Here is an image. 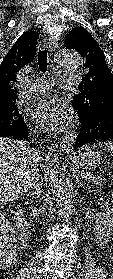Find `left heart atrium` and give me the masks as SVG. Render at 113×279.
<instances>
[{
  "mask_svg": "<svg viewBox=\"0 0 113 279\" xmlns=\"http://www.w3.org/2000/svg\"><path fill=\"white\" fill-rule=\"evenodd\" d=\"M34 116L44 129L59 130L69 123L70 110L64 100L47 96L39 101Z\"/></svg>",
  "mask_w": 113,
  "mask_h": 279,
  "instance_id": "obj_1",
  "label": "left heart atrium"
}]
</instances>
